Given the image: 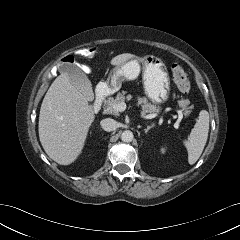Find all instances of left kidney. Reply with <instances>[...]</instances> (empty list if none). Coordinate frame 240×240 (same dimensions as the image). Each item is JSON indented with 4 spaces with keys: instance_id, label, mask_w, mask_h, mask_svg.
I'll return each instance as SVG.
<instances>
[{
    "instance_id": "1",
    "label": "left kidney",
    "mask_w": 240,
    "mask_h": 240,
    "mask_svg": "<svg viewBox=\"0 0 240 240\" xmlns=\"http://www.w3.org/2000/svg\"><path fill=\"white\" fill-rule=\"evenodd\" d=\"M161 152H162V153H165V148H161Z\"/></svg>"
}]
</instances>
